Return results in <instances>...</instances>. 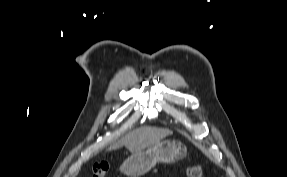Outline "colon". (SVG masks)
I'll use <instances>...</instances> for the list:
<instances>
[{
    "instance_id": "1",
    "label": "colon",
    "mask_w": 287,
    "mask_h": 177,
    "mask_svg": "<svg viewBox=\"0 0 287 177\" xmlns=\"http://www.w3.org/2000/svg\"><path fill=\"white\" fill-rule=\"evenodd\" d=\"M110 170L107 161H100L93 166V177H106ZM188 177H205V167L201 163L190 166L187 170Z\"/></svg>"
}]
</instances>
